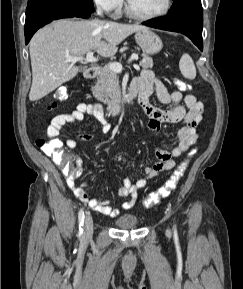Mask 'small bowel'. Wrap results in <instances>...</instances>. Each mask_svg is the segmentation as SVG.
<instances>
[{
	"label": "small bowel",
	"instance_id": "small-bowel-1",
	"mask_svg": "<svg viewBox=\"0 0 243 289\" xmlns=\"http://www.w3.org/2000/svg\"><path fill=\"white\" fill-rule=\"evenodd\" d=\"M132 88L139 92L138 103L143 113L149 118L147 127L158 132L166 124H182L178 131V143L170 151L159 148L156 151L158 161L150 166H143L145 176L135 183L125 178L119 189V194L129 196V200L121 205V209H130L138 195V191L144 188L148 180L157 177L161 172L170 170L175 166V159L183 155L197 140V127L202 121L203 104L192 94H183L180 91L169 92L165 84L160 81L151 70H143L132 83ZM156 92L161 103H172L169 110H162L149 103V96ZM86 115L93 116L100 124L104 134L111 131L112 126L105 118L103 110L98 104L80 103L75 110L69 113L55 116L47 128L50 139H58V136L70 123L82 121ZM92 138L89 134H83L66 141L69 149H74L78 141H88ZM115 160L125 165H130L123 152H117ZM87 169V166L77 156L75 166L67 174L66 183L74 195L93 210L105 216L116 217L120 209L110 206V201H100L90 196L84 189L85 184L77 185L76 180Z\"/></svg>",
	"mask_w": 243,
	"mask_h": 289
}]
</instances>
